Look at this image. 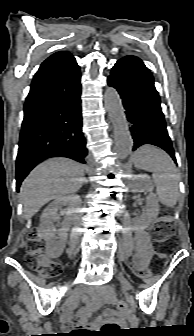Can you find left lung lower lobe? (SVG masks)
Returning <instances> with one entry per match:
<instances>
[{
  "mask_svg": "<svg viewBox=\"0 0 194 336\" xmlns=\"http://www.w3.org/2000/svg\"><path fill=\"white\" fill-rule=\"evenodd\" d=\"M108 84L117 89L122 99L134 142L133 150L152 144L165 150L176 162L160 97L144 63L135 56L120 59L112 68Z\"/></svg>",
  "mask_w": 194,
  "mask_h": 336,
  "instance_id": "1",
  "label": "left lung lower lobe"
}]
</instances>
